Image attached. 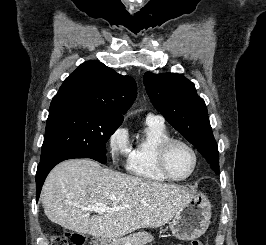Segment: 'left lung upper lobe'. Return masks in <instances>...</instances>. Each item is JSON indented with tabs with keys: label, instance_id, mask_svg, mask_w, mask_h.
I'll list each match as a JSON object with an SVG mask.
<instances>
[{
	"label": "left lung upper lobe",
	"instance_id": "obj_1",
	"mask_svg": "<svg viewBox=\"0 0 266 245\" xmlns=\"http://www.w3.org/2000/svg\"><path fill=\"white\" fill-rule=\"evenodd\" d=\"M144 85L154 107L180 132L219 174V152L206 105L191 81L181 74H144Z\"/></svg>",
	"mask_w": 266,
	"mask_h": 245
}]
</instances>
